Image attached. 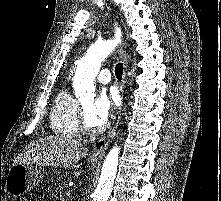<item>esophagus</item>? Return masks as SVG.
<instances>
[{
  "label": "esophagus",
  "instance_id": "obj_1",
  "mask_svg": "<svg viewBox=\"0 0 221 201\" xmlns=\"http://www.w3.org/2000/svg\"><path fill=\"white\" fill-rule=\"evenodd\" d=\"M120 57L123 61V65H124V71H123V78H122V83L120 85V91H121V95L123 98V93H124V87H125V78H126V72H127V66H128V62H127V53L124 49L120 50ZM118 123L119 120L117 121L116 125L113 127V129L109 132V134H107L106 136L102 137L95 145L93 153L90 155L89 159L92 162H100L106 152V149L108 148V146L110 145L113 137L115 136L116 133V129L118 127Z\"/></svg>",
  "mask_w": 221,
  "mask_h": 201
}]
</instances>
